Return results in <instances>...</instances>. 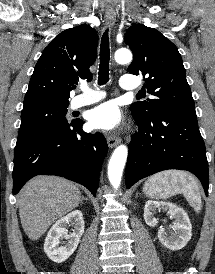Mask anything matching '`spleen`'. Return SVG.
<instances>
[{
  "label": "spleen",
  "instance_id": "obj_1",
  "mask_svg": "<svg viewBox=\"0 0 215 274\" xmlns=\"http://www.w3.org/2000/svg\"><path fill=\"white\" fill-rule=\"evenodd\" d=\"M144 191L150 198L166 199L169 196L182 193L191 206L199 210L201 196L195 178L182 171H166L148 178Z\"/></svg>",
  "mask_w": 215,
  "mask_h": 274
}]
</instances>
